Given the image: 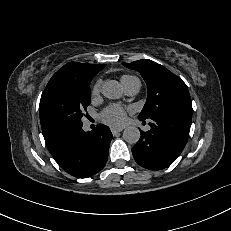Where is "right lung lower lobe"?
<instances>
[{"label": "right lung lower lobe", "instance_id": "1", "mask_svg": "<svg viewBox=\"0 0 231 231\" xmlns=\"http://www.w3.org/2000/svg\"><path fill=\"white\" fill-rule=\"evenodd\" d=\"M112 137L106 125L98 124L85 132L79 123L53 133L46 139V145L63 170L72 176L87 178L106 165Z\"/></svg>", "mask_w": 231, "mask_h": 231}]
</instances>
